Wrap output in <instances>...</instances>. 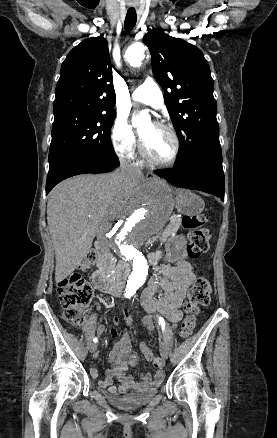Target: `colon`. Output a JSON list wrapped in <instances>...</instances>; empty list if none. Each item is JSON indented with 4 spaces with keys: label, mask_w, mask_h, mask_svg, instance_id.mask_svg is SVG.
<instances>
[{
    "label": "colon",
    "mask_w": 277,
    "mask_h": 438,
    "mask_svg": "<svg viewBox=\"0 0 277 438\" xmlns=\"http://www.w3.org/2000/svg\"><path fill=\"white\" fill-rule=\"evenodd\" d=\"M208 217L201 215H186L181 221L182 228L189 234L187 255L198 259L208 248L211 232L206 228ZM99 250L90 248L86 253V260L82 263V270L90 266V261H97ZM212 293L211 283L207 277H197L188 290L186 309L187 316L180 326L179 334L187 338L192 334L196 315L202 306L208 305ZM57 294L64 315L74 325H81L85 321V312L92 297V287L82 276L70 275L63 278L57 286ZM154 365L161 367L163 359L157 356L153 359Z\"/></svg>",
    "instance_id": "1"
}]
</instances>
